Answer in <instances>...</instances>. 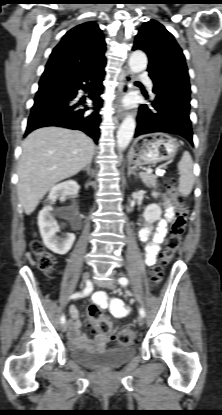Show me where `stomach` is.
Returning a JSON list of instances; mask_svg holds the SVG:
<instances>
[{"mask_svg": "<svg viewBox=\"0 0 222 415\" xmlns=\"http://www.w3.org/2000/svg\"><path fill=\"white\" fill-rule=\"evenodd\" d=\"M178 146L177 140L166 133H149L134 140L128 160L135 166L155 164L174 157Z\"/></svg>", "mask_w": 222, "mask_h": 415, "instance_id": "stomach-1", "label": "stomach"}]
</instances>
